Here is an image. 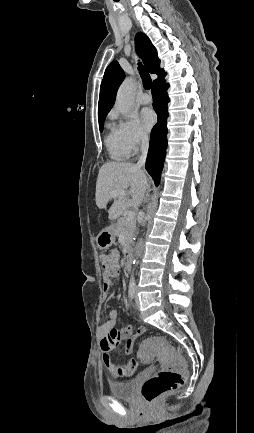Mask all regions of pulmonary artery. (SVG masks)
I'll use <instances>...</instances> for the list:
<instances>
[{"label":"pulmonary artery","mask_w":254,"mask_h":433,"mask_svg":"<svg viewBox=\"0 0 254 433\" xmlns=\"http://www.w3.org/2000/svg\"><path fill=\"white\" fill-rule=\"evenodd\" d=\"M150 102H151V97L147 93H143L140 95L141 104H149Z\"/></svg>","instance_id":"obj_1"}]
</instances>
